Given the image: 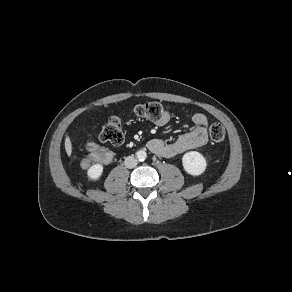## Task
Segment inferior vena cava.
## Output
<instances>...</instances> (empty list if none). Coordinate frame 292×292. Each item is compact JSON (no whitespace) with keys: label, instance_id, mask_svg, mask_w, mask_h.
<instances>
[{"label":"inferior vena cava","instance_id":"1","mask_svg":"<svg viewBox=\"0 0 292 292\" xmlns=\"http://www.w3.org/2000/svg\"><path fill=\"white\" fill-rule=\"evenodd\" d=\"M124 163L126 168H134L137 165V160L133 156H128L125 158Z\"/></svg>","mask_w":292,"mask_h":292}]
</instances>
